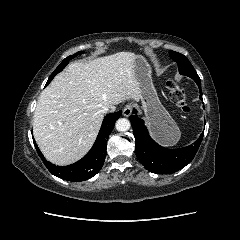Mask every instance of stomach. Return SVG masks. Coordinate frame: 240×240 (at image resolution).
I'll return each mask as SVG.
<instances>
[{
  "label": "stomach",
  "mask_w": 240,
  "mask_h": 240,
  "mask_svg": "<svg viewBox=\"0 0 240 240\" xmlns=\"http://www.w3.org/2000/svg\"><path fill=\"white\" fill-rule=\"evenodd\" d=\"M133 70L141 90L142 108L151 135L162 144L175 145L180 139L181 132L159 101L153 85L150 65L143 56L136 55Z\"/></svg>",
  "instance_id": "stomach-1"
}]
</instances>
